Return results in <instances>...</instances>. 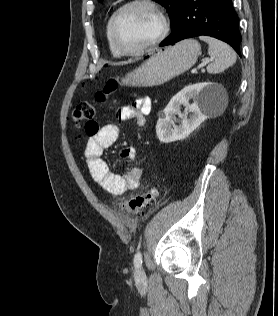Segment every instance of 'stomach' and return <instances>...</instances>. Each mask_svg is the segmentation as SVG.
Returning <instances> with one entry per match:
<instances>
[{"mask_svg":"<svg viewBox=\"0 0 278 316\" xmlns=\"http://www.w3.org/2000/svg\"><path fill=\"white\" fill-rule=\"evenodd\" d=\"M200 44L193 39L158 50L135 70L121 79L123 85L152 87L161 85L190 69L201 53Z\"/></svg>","mask_w":278,"mask_h":316,"instance_id":"stomach-1","label":"stomach"}]
</instances>
